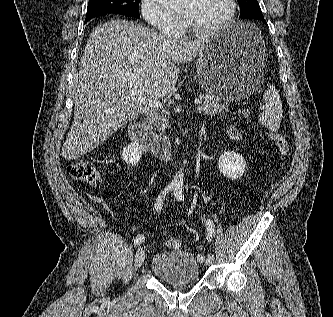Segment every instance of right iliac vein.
Segmentation results:
<instances>
[{
    "instance_id": "obj_1",
    "label": "right iliac vein",
    "mask_w": 333,
    "mask_h": 317,
    "mask_svg": "<svg viewBox=\"0 0 333 317\" xmlns=\"http://www.w3.org/2000/svg\"><path fill=\"white\" fill-rule=\"evenodd\" d=\"M145 259V250L143 248H138L135 254V261H134V267L135 270H138L141 265L143 264Z\"/></svg>"
}]
</instances>
